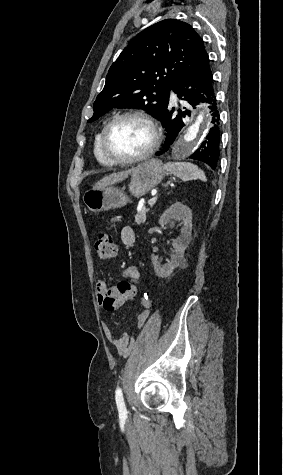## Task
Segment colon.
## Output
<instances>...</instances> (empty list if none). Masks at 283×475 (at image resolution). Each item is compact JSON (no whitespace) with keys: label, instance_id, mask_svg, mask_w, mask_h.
<instances>
[{"label":"colon","instance_id":"colon-1","mask_svg":"<svg viewBox=\"0 0 283 475\" xmlns=\"http://www.w3.org/2000/svg\"><path fill=\"white\" fill-rule=\"evenodd\" d=\"M94 249L96 260L100 263L106 262L117 253L115 241L110 233L98 234L94 242ZM116 291L121 295H117L115 298L105 297L103 300L104 306L110 312H113L115 309H120L122 304H126L134 298L136 285L127 284L125 280H120Z\"/></svg>","mask_w":283,"mask_h":475}]
</instances>
